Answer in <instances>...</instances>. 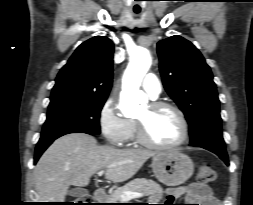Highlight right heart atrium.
<instances>
[{"label":"right heart atrium","mask_w":253,"mask_h":205,"mask_svg":"<svg viewBox=\"0 0 253 205\" xmlns=\"http://www.w3.org/2000/svg\"><path fill=\"white\" fill-rule=\"evenodd\" d=\"M98 124L105 140L114 146H121L128 139L131 121L120 114L113 98H108L101 106Z\"/></svg>","instance_id":"d8ad5b80"}]
</instances>
